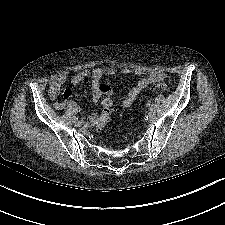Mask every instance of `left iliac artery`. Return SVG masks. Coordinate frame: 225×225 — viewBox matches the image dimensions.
Instances as JSON below:
<instances>
[{"mask_svg":"<svg viewBox=\"0 0 225 225\" xmlns=\"http://www.w3.org/2000/svg\"><path fill=\"white\" fill-rule=\"evenodd\" d=\"M151 108H154V109H155V105H154V104H152V105H151Z\"/></svg>","mask_w":225,"mask_h":225,"instance_id":"44dca946","label":"left iliac artery"}]
</instances>
